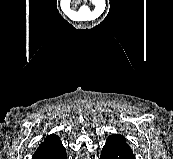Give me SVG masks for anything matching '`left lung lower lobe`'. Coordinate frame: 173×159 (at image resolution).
<instances>
[{
    "label": "left lung lower lobe",
    "mask_w": 173,
    "mask_h": 159,
    "mask_svg": "<svg viewBox=\"0 0 173 159\" xmlns=\"http://www.w3.org/2000/svg\"><path fill=\"white\" fill-rule=\"evenodd\" d=\"M100 159H135L132 151L107 143L102 148Z\"/></svg>",
    "instance_id": "obj_1"
}]
</instances>
